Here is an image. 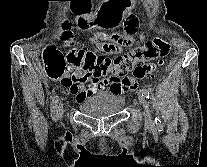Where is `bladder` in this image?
<instances>
[{"instance_id":"obj_1","label":"bladder","mask_w":207,"mask_h":167,"mask_svg":"<svg viewBox=\"0 0 207 167\" xmlns=\"http://www.w3.org/2000/svg\"><path fill=\"white\" fill-rule=\"evenodd\" d=\"M124 105V97L104 95L86 100L80 104L79 110L87 116L100 118L120 113Z\"/></svg>"}]
</instances>
